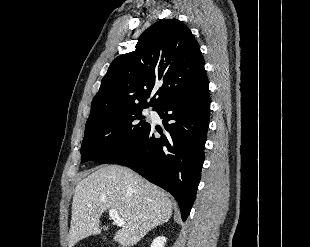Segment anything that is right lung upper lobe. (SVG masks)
Returning <instances> with one entry per match:
<instances>
[{"instance_id":"obj_1","label":"right lung upper lobe","mask_w":310,"mask_h":247,"mask_svg":"<svg viewBox=\"0 0 310 247\" xmlns=\"http://www.w3.org/2000/svg\"><path fill=\"white\" fill-rule=\"evenodd\" d=\"M135 48L110 64L92 101L87 122L149 105L156 110L172 97L207 81L199 44L177 19H162L153 24L141 34ZM153 89L157 92L148 103Z\"/></svg>"}]
</instances>
